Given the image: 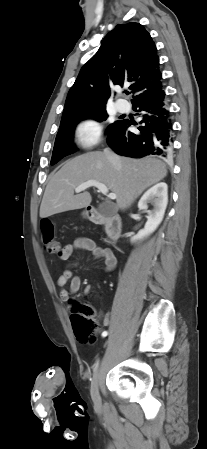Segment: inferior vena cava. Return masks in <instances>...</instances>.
Returning <instances> with one entry per match:
<instances>
[{
	"mask_svg": "<svg viewBox=\"0 0 207 449\" xmlns=\"http://www.w3.org/2000/svg\"><path fill=\"white\" fill-rule=\"evenodd\" d=\"M104 154L107 159L115 166L116 169H120V159L117 155H115L110 149H105Z\"/></svg>",
	"mask_w": 207,
	"mask_h": 449,
	"instance_id": "602c4592",
	"label": "inferior vena cava"
}]
</instances>
